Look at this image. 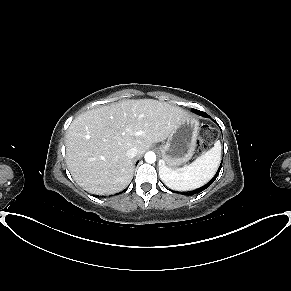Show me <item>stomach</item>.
I'll return each instance as SVG.
<instances>
[{
    "label": "stomach",
    "instance_id": "stomach-1",
    "mask_svg": "<svg viewBox=\"0 0 291 291\" xmlns=\"http://www.w3.org/2000/svg\"><path fill=\"white\" fill-rule=\"evenodd\" d=\"M198 129V121L191 116L177 125L167 142L160 147L163 165L171 168L186 163L192 158L196 148Z\"/></svg>",
    "mask_w": 291,
    "mask_h": 291
}]
</instances>
